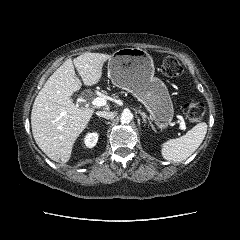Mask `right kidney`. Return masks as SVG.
<instances>
[{"instance_id":"ca27d5eb","label":"right kidney","mask_w":240,"mask_h":240,"mask_svg":"<svg viewBox=\"0 0 240 240\" xmlns=\"http://www.w3.org/2000/svg\"><path fill=\"white\" fill-rule=\"evenodd\" d=\"M98 141V134L93 132L86 135L84 143L88 148H92L96 145Z\"/></svg>"}]
</instances>
